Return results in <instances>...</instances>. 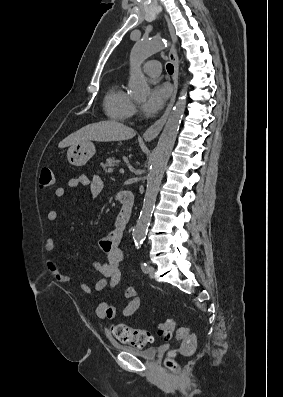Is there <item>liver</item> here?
Returning a JSON list of instances; mask_svg holds the SVG:
<instances>
[{"mask_svg":"<svg viewBox=\"0 0 283 397\" xmlns=\"http://www.w3.org/2000/svg\"><path fill=\"white\" fill-rule=\"evenodd\" d=\"M136 135L134 129L113 120L88 124L63 139L58 147L65 148L86 141H123Z\"/></svg>","mask_w":283,"mask_h":397,"instance_id":"obj_1","label":"liver"}]
</instances>
